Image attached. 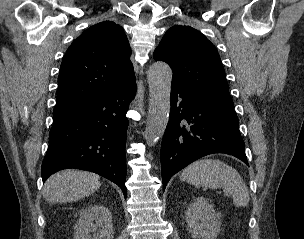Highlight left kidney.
Listing matches in <instances>:
<instances>
[{"mask_svg": "<svg viewBox=\"0 0 304 239\" xmlns=\"http://www.w3.org/2000/svg\"><path fill=\"white\" fill-rule=\"evenodd\" d=\"M221 216L203 197H198L186 211L188 230L193 238L215 239L220 232Z\"/></svg>", "mask_w": 304, "mask_h": 239, "instance_id": "5707ae66", "label": "left kidney"}]
</instances>
